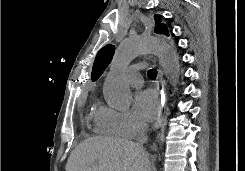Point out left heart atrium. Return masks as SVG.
I'll return each instance as SVG.
<instances>
[{
  "instance_id": "39dd6f15",
  "label": "left heart atrium",
  "mask_w": 245,
  "mask_h": 171,
  "mask_svg": "<svg viewBox=\"0 0 245 171\" xmlns=\"http://www.w3.org/2000/svg\"><path fill=\"white\" fill-rule=\"evenodd\" d=\"M159 107V98L153 90H140L134 96L135 112L142 119L153 120L159 111Z\"/></svg>"
}]
</instances>
